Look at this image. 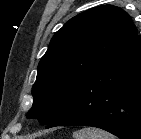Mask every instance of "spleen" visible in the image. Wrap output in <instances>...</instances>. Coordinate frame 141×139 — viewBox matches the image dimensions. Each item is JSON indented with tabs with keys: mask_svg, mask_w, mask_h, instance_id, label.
I'll return each instance as SVG.
<instances>
[{
	"mask_svg": "<svg viewBox=\"0 0 141 139\" xmlns=\"http://www.w3.org/2000/svg\"><path fill=\"white\" fill-rule=\"evenodd\" d=\"M73 139H116L112 134L98 128H82L73 132Z\"/></svg>",
	"mask_w": 141,
	"mask_h": 139,
	"instance_id": "3e777b00",
	"label": "spleen"
}]
</instances>
